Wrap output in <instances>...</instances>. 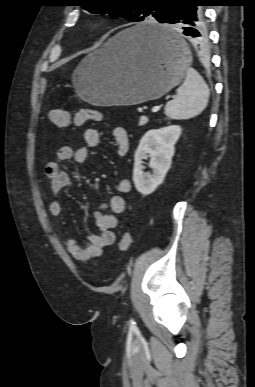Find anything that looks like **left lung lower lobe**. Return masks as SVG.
<instances>
[{
	"label": "left lung lower lobe",
	"instance_id": "obj_1",
	"mask_svg": "<svg viewBox=\"0 0 255 387\" xmlns=\"http://www.w3.org/2000/svg\"><path fill=\"white\" fill-rule=\"evenodd\" d=\"M206 0H181L173 2L168 8L166 19L163 23H178L183 29L182 33L190 36L192 42L200 52H205L208 48L207 34L204 29V16L201 6H207ZM144 37L167 49L173 51L176 49L172 36L159 29L146 30L142 32Z\"/></svg>",
	"mask_w": 255,
	"mask_h": 387
}]
</instances>
